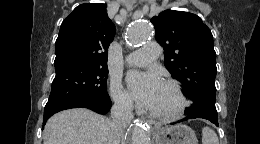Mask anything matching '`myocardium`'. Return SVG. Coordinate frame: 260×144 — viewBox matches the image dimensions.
I'll return each mask as SVG.
<instances>
[{
    "label": "myocardium",
    "mask_w": 260,
    "mask_h": 144,
    "mask_svg": "<svg viewBox=\"0 0 260 144\" xmlns=\"http://www.w3.org/2000/svg\"><path fill=\"white\" fill-rule=\"evenodd\" d=\"M163 84H165L166 86H168L173 93L176 96L177 99V106L175 109L171 110V111H155L150 109L149 112L152 116L162 119V120H175L180 118L188 105L187 99L184 95V92L181 88V86L179 85L178 82L171 80V79H166L162 81Z\"/></svg>",
    "instance_id": "myocardium-1"
}]
</instances>
